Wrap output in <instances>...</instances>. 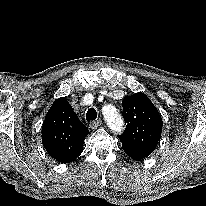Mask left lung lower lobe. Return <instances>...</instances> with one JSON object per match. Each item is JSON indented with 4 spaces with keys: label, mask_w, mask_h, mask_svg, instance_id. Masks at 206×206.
I'll return each instance as SVG.
<instances>
[{
    "label": "left lung lower lobe",
    "mask_w": 206,
    "mask_h": 206,
    "mask_svg": "<svg viewBox=\"0 0 206 206\" xmlns=\"http://www.w3.org/2000/svg\"><path fill=\"white\" fill-rule=\"evenodd\" d=\"M125 153H127L132 159L137 160V161L142 160L149 156L148 154L144 152L126 151Z\"/></svg>",
    "instance_id": "1"
}]
</instances>
